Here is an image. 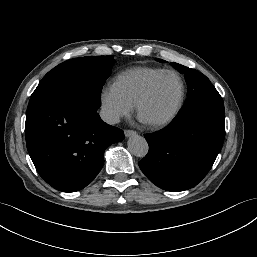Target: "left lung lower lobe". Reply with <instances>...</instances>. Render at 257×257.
<instances>
[{
    "label": "left lung lower lobe",
    "mask_w": 257,
    "mask_h": 257,
    "mask_svg": "<svg viewBox=\"0 0 257 257\" xmlns=\"http://www.w3.org/2000/svg\"><path fill=\"white\" fill-rule=\"evenodd\" d=\"M223 100L181 111L165 129L146 134L148 154L142 172L158 187L183 191L197 185L211 169L225 136Z\"/></svg>",
    "instance_id": "1"
}]
</instances>
